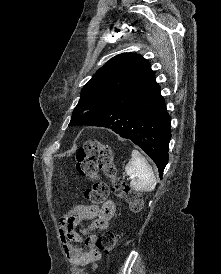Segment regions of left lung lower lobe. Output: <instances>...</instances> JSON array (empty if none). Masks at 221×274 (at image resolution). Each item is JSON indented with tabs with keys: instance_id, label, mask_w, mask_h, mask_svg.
I'll return each instance as SVG.
<instances>
[{
	"instance_id": "obj_1",
	"label": "left lung lower lobe",
	"mask_w": 221,
	"mask_h": 274,
	"mask_svg": "<svg viewBox=\"0 0 221 274\" xmlns=\"http://www.w3.org/2000/svg\"><path fill=\"white\" fill-rule=\"evenodd\" d=\"M93 113L94 121L89 126L109 128L132 140L153 159L162 178L168 162L171 126L155 76L136 98Z\"/></svg>"
}]
</instances>
